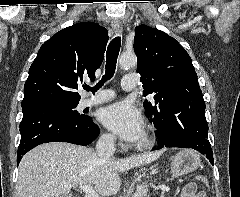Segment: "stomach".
<instances>
[{
	"mask_svg": "<svg viewBox=\"0 0 240 197\" xmlns=\"http://www.w3.org/2000/svg\"><path fill=\"white\" fill-rule=\"evenodd\" d=\"M171 173L182 176L196 171L201 166L199 155L193 150H183L172 157Z\"/></svg>",
	"mask_w": 240,
	"mask_h": 197,
	"instance_id": "0dacf381",
	"label": "stomach"
}]
</instances>
